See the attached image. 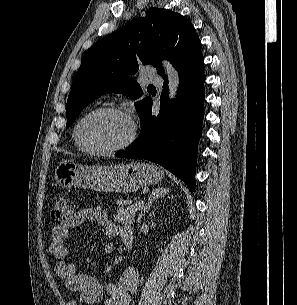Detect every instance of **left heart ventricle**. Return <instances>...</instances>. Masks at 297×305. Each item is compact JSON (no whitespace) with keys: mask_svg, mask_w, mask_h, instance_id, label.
I'll return each instance as SVG.
<instances>
[{"mask_svg":"<svg viewBox=\"0 0 297 305\" xmlns=\"http://www.w3.org/2000/svg\"><path fill=\"white\" fill-rule=\"evenodd\" d=\"M129 130V123L124 117L113 113H99L82 123L80 136L86 146L111 147L124 141Z\"/></svg>","mask_w":297,"mask_h":305,"instance_id":"left-heart-ventricle-1","label":"left heart ventricle"}]
</instances>
